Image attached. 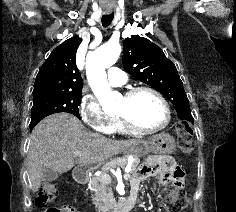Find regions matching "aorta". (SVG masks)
<instances>
[{
    "label": "aorta",
    "mask_w": 236,
    "mask_h": 212,
    "mask_svg": "<svg viewBox=\"0 0 236 212\" xmlns=\"http://www.w3.org/2000/svg\"><path fill=\"white\" fill-rule=\"evenodd\" d=\"M121 53L118 43L108 42L86 58V74L92 91L105 108L115 103L120 97L117 92L111 91L105 69L115 64Z\"/></svg>",
    "instance_id": "aorta-1"
}]
</instances>
